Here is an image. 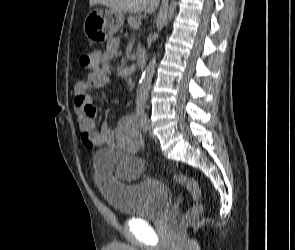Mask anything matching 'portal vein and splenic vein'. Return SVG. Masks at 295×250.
<instances>
[{"label":"portal vein and splenic vein","instance_id":"portal-vein-and-splenic-vein-1","mask_svg":"<svg viewBox=\"0 0 295 250\" xmlns=\"http://www.w3.org/2000/svg\"><path fill=\"white\" fill-rule=\"evenodd\" d=\"M140 24H141V21H138L137 23L134 24V28L135 29L139 28Z\"/></svg>","mask_w":295,"mask_h":250}]
</instances>
